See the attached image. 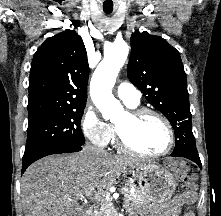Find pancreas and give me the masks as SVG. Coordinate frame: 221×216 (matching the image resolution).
<instances>
[{"mask_svg":"<svg viewBox=\"0 0 221 216\" xmlns=\"http://www.w3.org/2000/svg\"><path fill=\"white\" fill-rule=\"evenodd\" d=\"M124 197V206L128 211L132 210V206L144 205L147 203V200L136 187L133 193L125 192ZM101 201L100 208L93 212L91 216H115V210L112 204L109 201H105V199Z\"/></svg>","mask_w":221,"mask_h":216,"instance_id":"1","label":"pancreas"}]
</instances>
